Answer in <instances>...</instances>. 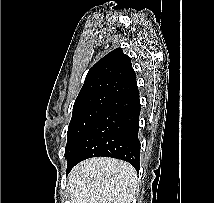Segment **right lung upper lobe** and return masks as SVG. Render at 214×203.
Masks as SVG:
<instances>
[{
	"instance_id": "right-lung-upper-lobe-1",
	"label": "right lung upper lobe",
	"mask_w": 214,
	"mask_h": 203,
	"mask_svg": "<svg viewBox=\"0 0 214 203\" xmlns=\"http://www.w3.org/2000/svg\"><path fill=\"white\" fill-rule=\"evenodd\" d=\"M137 88L131 59L117 48L101 58L87 73L77 99L90 96L116 98ZM76 99V100H77Z\"/></svg>"
}]
</instances>
